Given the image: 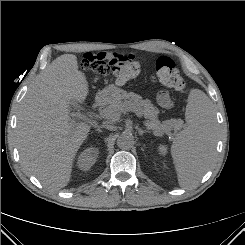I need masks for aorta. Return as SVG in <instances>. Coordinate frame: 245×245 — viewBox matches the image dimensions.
Listing matches in <instances>:
<instances>
[{
    "label": "aorta",
    "mask_w": 245,
    "mask_h": 245,
    "mask_svg": "<svg viewBox=\"0 0 245 245\" xmlns=\"http://www.w3.org/2000/svg\"><path fill=\"white\" fill-rule=\"evenodd\" d=\"M134 145V137L130 133H122L117 138V146L121 149H130Z\"/></svg>",
    "instance_id": "1"
}]
</instances>
